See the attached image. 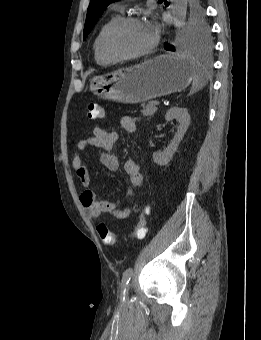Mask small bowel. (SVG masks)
Here are the masks:
<instances>
[{"mask_svg": "<svg viewBox=\"0 0 261 340\" xmlns=\"http://www.w3.org/2000/svg\"><path fill=\"white\" fill-rule=\"evenodd\" d=\"M121 126L127 132L135 133L136 118L131 116L122 117ZM118 138L119 135L117 132L96 125L93 128V136L80 140L77 144V151L72 160V167L81 186L84 188L80 195V202L91 218H98L101 214L107 213L117 219H125L131 213L129 206L121 207V199L113 202L97 199L96 192L88 188L90 185V173L80 155V152L87 146H93L101 151L100 159L103 165L111 171H116L120 167V161L115 149ZM123 169L131 186V189L126 193V198H131L134 190L142 186L143 177L140 173L138 163L134 159H127L123 164Z\"/></svg>", "mask_w": 261, "mask_h": 340, "instance_id": "small-bowel-1", "label": "small bowel"}]
</instances>
